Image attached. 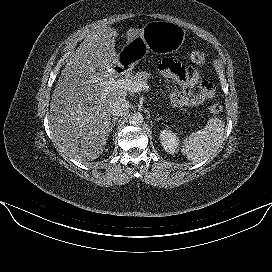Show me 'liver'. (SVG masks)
<instances>
[{
	"label": "liver",
	"mask_w": 272,
	"mask_h": 272,
	"mask_svg": "<svg viewBox=\"0 0 272 272\" xmlns=\"http://www.w3.org/2000/svg\"><path fill=\"white\" fill-rule=\"evenodd\" d=\"M142 29H129L127 43L141 35ZM118 32L111 27L90 32L65 65L53 91L50 120L56 145L79 160L98 158L111 131V104L125 99L124 89L105 88L100 81L109 80L113 67L121 66L115 52Z\"/></svg>",
	"instance_id": "6515ba94"
}]
</instances>
